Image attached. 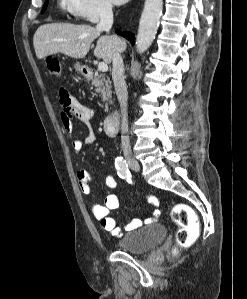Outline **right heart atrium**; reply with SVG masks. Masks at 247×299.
Segmentation results:
<instances>
[{"instance_id":"d8ad5b80","label":"right heart atrium","mask_w":247,"mask_h":299,"mask_svg":"<svg viewBox=\"0 0 247 299\" xmlns=\"http://www.w3.org/2000/svg\"><path fill=\"white\" fill-rule=\"evenodd\" d=\"M74 15L84 21L96 23L109 18L113 12L111 0H74Z\"/></svg>"}]
</instances>
